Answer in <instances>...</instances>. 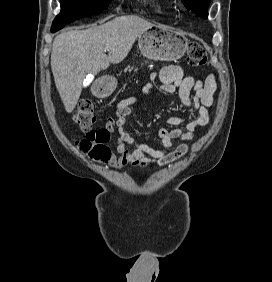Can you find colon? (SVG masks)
Listing matches in <instances>:
<instances>
[{
  "instance_id": "colon-1",
  "label": "colon",
  "mask_w": 272,
  "mask_h": 282,
  "mask_svg": "<svg viewBox=\"0 0 272 282\" xmlns=\"http://www.w3.org/2000/svg\"><path fill=\"white\" fill-rule=\"evenodd\" d=\"M187 61L192 66H203L207 61V54L204 48L195 42L187 46ZM73 119L86 132L76 141V145L88 156L99 163H106L111 157L108 146L110 130L100 128L91 130L97 119V109L93 102L88 99L81 100L73 114Z\"/></svg>"
}]
</instances>
